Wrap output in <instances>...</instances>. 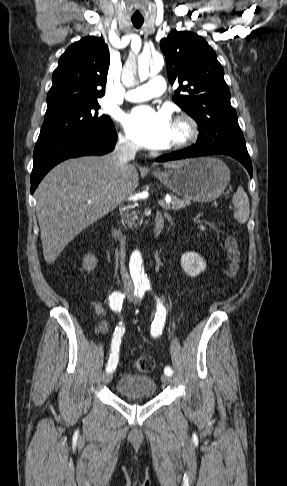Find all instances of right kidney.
I'll list each match as a JSON object with an SVG mask.
<instances>
[{
	"label": "right kidney",
	"mask_w": 287,
	"mask_h": 486,
	"mask_svg": "<svg viewBox=\"0 0 287 486\" xmlns=\"http://www.w3.org/2000/svg\"><path fill=\"white\" fill-rule=\"evenodd\" d=\"M97 262L98 260L94 255L88 254L83 260V267L86 271L90 272L95 269Z\"/></svg>",
	"instance_id": "obj_1"
}]
</instances>
